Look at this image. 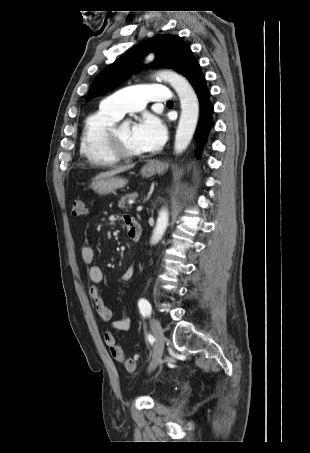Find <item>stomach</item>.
Instances as JSON below:
<instances>
[{"label": "stomach", "mask_w": 310, "mask_h": 453, "mask_svg": "<svg viewBox=\"0 0 310 453\" xmlns=\"http://www.w3.org/2000/svg\"><path fill=\"white\" fill-rule=\"evenodd\" d=\"M157 172L155 167L147 164L141 169V174L143 177H151ZM127 184V180L120 177H107L99 180H95L91 187L92 189L99 194H109L115 190L124 187Z\"/></svg>", "instance_id": "1"}]
</instances>
